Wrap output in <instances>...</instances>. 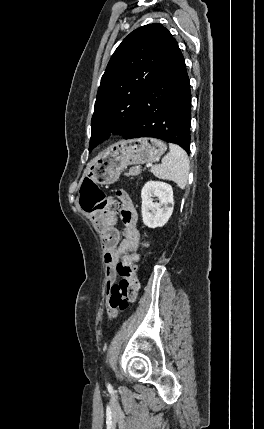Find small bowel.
I'll use <instances>...</instances> for the list:
<instances>
[{
  "instance_id": "1",
  "label": "small bowel",
  "mask_w": 264,
  "mask_h": 429,
  "mask_svg": "<svg viewBox=\"0 0 264 429\" xmlns=\"http://www.w3.org/2000/svg\"><path fill=\"white\" fill-rule=\"evenodd\" d=\"M115 197L121 205V218L124 223L122 232L114 226L111 216L99 212L90 213L94 226L102 232V247L108 284L116 279L115 266L119 257L128 252L136 251L140 241V234L136 227L138 215L130 195L125 190H118Z\"/></svg>"
}]
</instances>
